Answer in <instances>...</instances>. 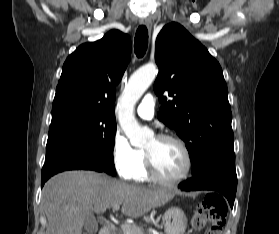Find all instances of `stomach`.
I'll return each mask as SVG.
<instances>
[{"label": "stomach", "mask_w": 279, "mask_h": 234, "mask_svg": "<svg viewBox=\"0 0 279 234\" xmlns=\"http://www.w3.org/2000/svg\"><path fill=\"white\" fill-rule=\"evenodd\" d=\"M165 234H184L187 226V218L183 210L172 207L165 211L163 217Z\"/></svg>", "instance_id": "stomach-1"}]
</instances>
